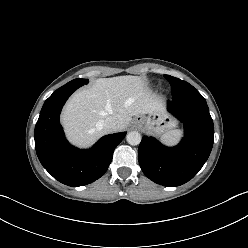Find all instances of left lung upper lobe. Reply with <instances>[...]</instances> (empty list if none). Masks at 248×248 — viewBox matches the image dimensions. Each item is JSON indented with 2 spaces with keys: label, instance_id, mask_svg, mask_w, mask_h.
Returning a JSON list of instances; mask_svg holds the SVG:
<instances>
[{
  "label": "left lung upper lobe",
  "instance_id": "1",
  "mask_svg": "<svg viewBox=\"0 0 248 248\" xmlns=\"http://www.w3.org/2000/svg\"><path fill=\"white\" fill-rule=\"evenodd\" d=\"M172 87L173 98L201 95L192 85L170 75H164Z\"/></svg>",
  "mask_w": 248,
  "mask_h": 248
}]
</instances>
